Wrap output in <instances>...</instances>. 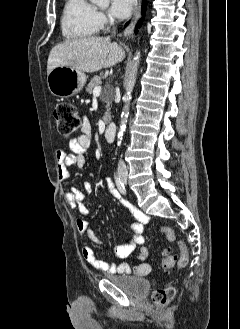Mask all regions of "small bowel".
Wrapping results in <instances>:
<instances>
[{
    "mask_svg": "<svg viewBox=\"0 0 240 329\" xmlns=\"http://www.w3.org/2000/svg\"><path fill=\"white\" fill-rule=\"evenodd\" d=\"M91 132V123L87 117H84L81 133L77 137L71 139L68 143L71 152L66 153L61 148L56 150L57 174L61 182H65L68 179L69 166L76 165L80 169H84L86 167V153L91 145ZM103 181L109 189L111 197L118 200L124 207L128 208L135 218V221L130 225V230L133 236L128 238L122 245L115 247L113 250L114 255L117 258L123 259L139 248L137 263L134 265L124 262L109 263L96 257L91 244H95L97 246H104V244L97 238L95 232L89 227V222L87 219L89 216V210L84 204V192L74 187L66 193L65 197L69 206L73 209H77L81 214V216L76 219V227L83 242V258L91 266L105 273L145 276L151 271V266L147 262L149 250L143 245V229L144 224L148 222V217L132 206L128 201L124 200L109 178L105 177ZM83 187L86 192H90L93 185L90 181H86L84 182Z\"/></svg>",
    "mask_w": 240,
    "mask_h": 329,
    "instance_id": "1",
    "label": "small bowel"
}]
</instances>
